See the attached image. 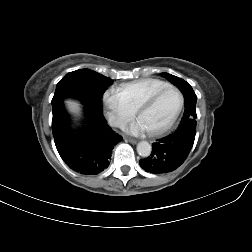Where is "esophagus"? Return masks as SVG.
Returning <instances> with one entry per match:
<instances>
[{"label":"esophagus","instance_id":"1","mask_svg":"<svg viewBox=\"0 0 252 252\" xmlns=\"http://www.w3.org/2000/svg\"><path fill=\"white\" fill-rule=\"evenodd\" d=\"M126 141H128V142H130L132 144H136L137 143V140L132 139V138H128V139H126Z\"/></svg>","mask_w":252,"mask_h":252}]
</instances>
